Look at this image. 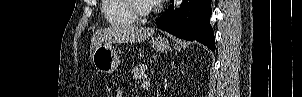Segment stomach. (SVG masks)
<instances>
[{"label": "stomach", "instance_id": "0dacf381", "mask_svg": "<svg viewBox=\"0 0 302 97\" xmlns=\"http://www.w3.org/2000/svg\"><path fill=\"white\" fill-rule=\"evenodd\" d=\"M151 45L160 53H165L170 49V42L165 37L153 38ZM173 47L176 50L180 49L177 44H174ZM91 59L94 67L102 73H113L120 64L116 50L110 42L98 44L91 55Z\"/></svg>", "mask_w": 302, "mask_h": 97}]
</instances>
